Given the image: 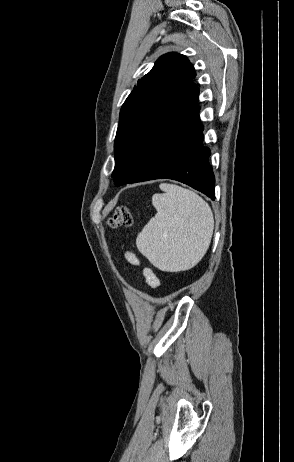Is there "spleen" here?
I'll use <instances>...</instances> for the list:
<instances>
[{
    "instance_id": "spleen-1",
    "label": "spleen",
    "mask_w": 294,
    "mask_h": 462,
    "mask_svg": "<svg viewBox=\"0 0 294 462\" xmlns=\"http://www.w3.org/2000/svg\"><path fill=\"white\" fill-rule=\"evenodd\" d=\"M152 204L156 215L138 234V250L157 268L168 272L195 266L209 248L214 218L210 206L195 192L160 184Z\"/></svg>"
}]
</instances>
